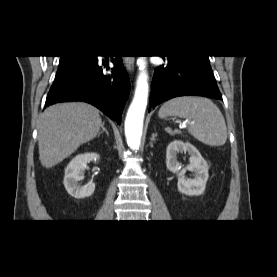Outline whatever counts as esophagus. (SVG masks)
I'll use <instances>...</instances> for the list:
<instances>
[{
  "instance_id": "34e87169",
  "label": "esophagus",
  "mask_w": 277,
  "mask_h": 277,
  "mask_svg": "<svg viewBox=\"0 0 277 277\" xmlns=\"http://www.w3.org/2000/svg\"><path fill=\"white\" fill-rule=\"evenodd\" d=\"M123 61L127 70L132 71L134 69V57H124Z\"/></svg>"
}]
</instances>
